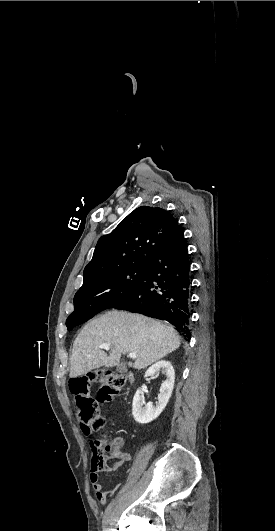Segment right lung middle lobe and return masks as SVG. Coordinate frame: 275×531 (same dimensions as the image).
<instances>
[{"label":"right lung middle lobe","mask_w":275,"mask_h":531,"mask_svg":"<svg viewBox=\"0 0 275 531\" xmlns=\"http://www.w3.org/2000/svg\"><path fill=\"white\" fill-rule=\"evenodd\" d=\"M145 271L146 266L121 268L83 284L74 296V312L66 321L68 330L124 301L140 282Z\"/></svg>","instance_id":"dd1d6c3e"}]
</instances>
